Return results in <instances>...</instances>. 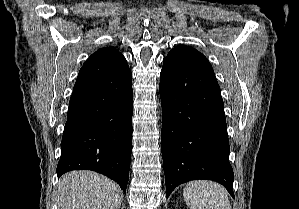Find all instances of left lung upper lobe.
Segmentation results:
<instances>
[{
    "label": "left lung upper lobe",
    "instance_id": "obj_1",
    "mask_svg": "<svg viewBox=\"0 0 299 209\" xmlns=\"http://www.w3.org/2000/svg\"><path fill=\"white\" fill-rule=\"evenodd\" d=\"M165 60L176 64L211 66L202 53L188 46H177L173 48Z\"/></svg>",
    "mask_w": 299,
    "mask_h": 209
}]
</instances>
